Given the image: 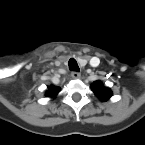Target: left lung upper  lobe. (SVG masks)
Listing matches in <instances>:
<instances>
[{"label":"left lung upper lobe","instance_id":"5c2ea615","mask_svg":"<svg viewBox=\"0 0 145 145\" xmlns=\"http://www.w3.org/2000/svg\"><path fill=\"white\" fill-rule=\"evenodd\" d=\"M92 90L102 101H106L112 96L111 90L109 88L104 87L99 81H95L92 84Z\"/></svg>","mask_w":145,"mask_h":145}]
</instances>
